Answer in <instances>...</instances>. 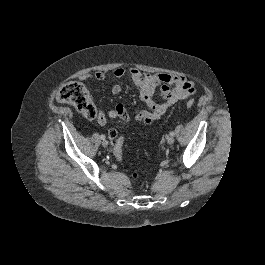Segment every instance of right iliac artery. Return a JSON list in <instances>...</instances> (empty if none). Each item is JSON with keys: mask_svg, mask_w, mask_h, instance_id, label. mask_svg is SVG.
Segmentation results:
<instances>
[{"mask_svg": "<svg viewBox=\"0 0 265 265\" xmlns=\"http://www.w3.org/2000/svg\"><path fill=\"white\" fill-rule=\"evenodd\" d=\"M100 138H101L102 140H104L106 137H105V135H101Z\"/></svg>", "mask_w": 265, "mask_h": 265, "instance_id": "82829eb1", "label": "right iliac artery"}]
</instances>
